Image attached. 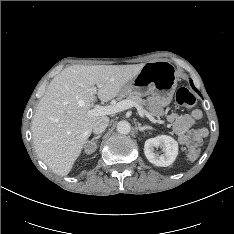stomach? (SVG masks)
Returning a JSON list of instances; mask_svg holds the SVG:
<instances>
[{"label": "stomach", "instance_id": "1", "mask_svg": "<svg viewBox=\"0 0 234 234\" xmlns=\"http://www.w3.org/2000/svg\"><path fill=\"white\" fill-rule=\"evenodd\" d=\"M177 87L174 68L164 62L146 63L141 71L119 92L122 97L151 95L161 106H168Z\"/></svg>", "mask_w": 234, "mask_h": 234}]
</instances>
